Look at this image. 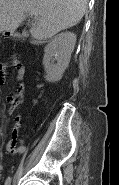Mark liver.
<instances>
[{
	"instance_id": "6515ba94",
	"label": "liver",
	"mask_w": 119,
	"mask_h": 185,
	"mask_svg": "<svg viewBox=\"0 0 119 185\" xmlns=\"http://www.w3.org/2000/svg\"><path fill=\"white\" fill-rule=\"evenodd\" d=\"M87 0H0V33H13L29 14L34 18L30 33L38 42L78 24Z\"/></svg>"
}]
</instances>
